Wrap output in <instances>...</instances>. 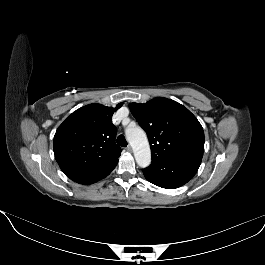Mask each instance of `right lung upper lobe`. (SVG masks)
<instances>
[{"label":"right lung upper lobe","mask_w":265,"mask_h":265,"mask_svg":"<svg viewBox=\"0 0 265 265\" xmlns=\"http://www.w3.org/2000/svg\"><path fill=\"white\" fill-rule=\"evenodd\" d=\"M116 108L90 104L79 108L59 126L54 136V154L67 175L88 171H112L121 154L116 145L112 115Z\"/></svg>","instance_id":"obj_1"}]
</instances>
